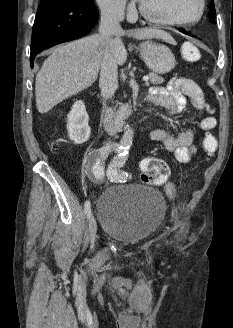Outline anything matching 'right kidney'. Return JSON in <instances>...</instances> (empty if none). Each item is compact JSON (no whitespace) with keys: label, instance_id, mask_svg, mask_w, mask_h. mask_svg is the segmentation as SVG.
Segmentation results:
<instances>
[{"label":"right kidney","instance_id":"1","mask_svg":"<svg viewBox=\"0 0 233 328\" xmlns=\"http://www.w3.org/2000/svg\"><path fill=\"white\" fill-rule=\"evenodd\" d=\"M89 116L82 101H76L67 115V130L71 141L82 144L88 141L91 128L88 124Z\"/></svg>","mask_w":233,"mask_h":328}]
</instances>
